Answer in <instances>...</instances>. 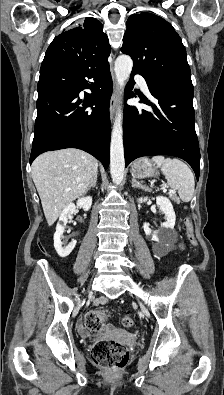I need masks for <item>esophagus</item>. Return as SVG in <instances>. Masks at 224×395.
Instances as JSON below:
<instances>
[{
	"mask_svg": "<svg viewBox=\"0 0 224 395\" xmlns=\"http://www.w3.org/2000/svg\"><path fill=\"white\" fill-rule=\"evenodd\" d=\"M113 58H114V56H113ZM110 68H111V73H112V77H113V81H114V93L110 99L109 110H110L111 119H114V115H115L116 108H117L118 92H117V83H116V79H115V75H114V71H113V64L111 65Z\"/></svg>",
	"mask_w": 224,
	"mask_h": 395,
	"instance_id": "1",
	"label": "esophagus"
}]
</instances>
